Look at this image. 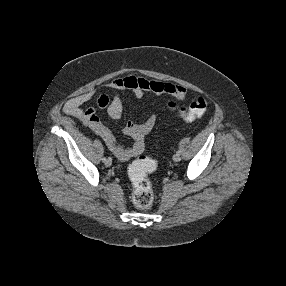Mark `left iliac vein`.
Here are the masks:
<instances>
[{"mask_svg":"<svg viewBox=\"0 0 286 286\" xmlns=\"http://www.w3.org/2000/svg\"><path fill=\"white\" fill-rule=\"evenodd\" d=\"M173 160H174L175 162H179V161L181 160L180 154H178V153L174 154V155H173Z\"/></svg>","mask_w":286,"mask_h":286,"instance_id":"1","label":"left iliac vein"}]
</instances>
